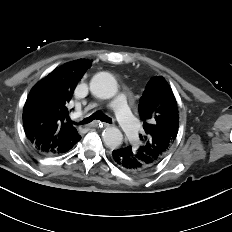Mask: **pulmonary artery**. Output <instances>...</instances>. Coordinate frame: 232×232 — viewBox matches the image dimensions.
<instances>
[{
  "label": "pulmonary artery",
  "instance_id": "pulmonary-artery-1",
  "mask_svg": "<svg viewBox=\"0 0 232 232\" xmlns=\"http://www.w3.org/2000/svg\"><path fill=\"white\" fill-rule=\"evenodd\" d=\"M128 100L129 96L126 93H120L111 108L127 138L135 145L138 142V123L130 111Z\"/></svg>",
  "mask_w": 232,
  "mask_h": 232
}]
</instances>
